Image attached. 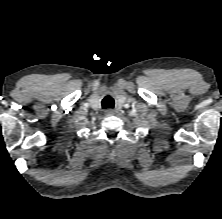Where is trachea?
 Segmentation results:
<instances>
[{
  "mask_svg": "<svg viewBox=\"0 0 222 219\" xmlns=\"http://www.w3.org/2000/svg\"><path fill=\"white\" fill-rule=\"evenodd\" d=\"M102 107L105 108H114V99L110 96H106L102 100Z\"/></svg>",
  "mask_w": 222,
  "mask_h": 219,
  "instance_id": "trachea-1",
  "label": "trachea"
}]
</instances>
